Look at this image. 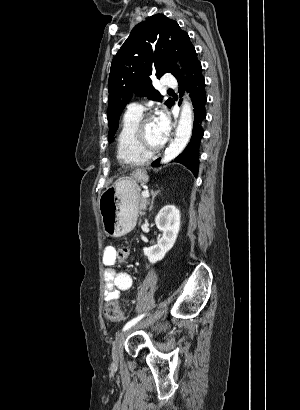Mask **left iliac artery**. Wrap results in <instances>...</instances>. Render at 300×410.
<instances>
[{
	"instance_id": "obj_1",
	"label": "left iliac artery",
	"mask_w": 300,
	"mask_h": 410,
	"mask_svg": "<svg viewBox=\"0 0 300 410\" xmlns=\"http://www.w3.org/2000/svg\"><path fill=\"white\" fill-rule=\"evenodd\" d=\"M146 314H141L139 316H137L136 318H133L132 320H130L129 322L126 323V325L123 327V331L129 329L130 327H132L133 325H135L138 321H140Z\"/></svg>"
}]
</instances>
